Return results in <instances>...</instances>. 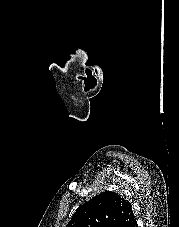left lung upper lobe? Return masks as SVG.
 I'll return each instance as SVG.
<instances>
[{
    "label": "left lung upper lobe",
    "mask_w": 179,
    "mask_h": 227,
    "mask_svg": "<svg viewBox=\"0 0 179 227\" xmlns=\"http://www.w3.org/2000/svg\"><path fill=\"white\" fill-rule=\"evenodd\" d=\"M131 204L121 195L106 191L81 205L66 227H135Z\"/></svg>",
    "instance_id": "left-lung-upper-lobe-1"
}]
</instances>
